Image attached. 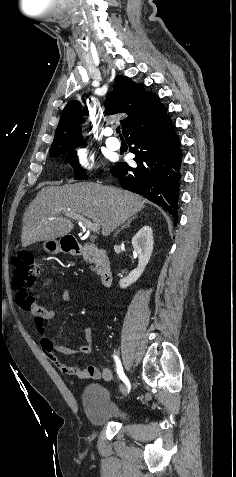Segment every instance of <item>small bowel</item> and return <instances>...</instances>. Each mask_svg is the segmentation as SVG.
<instances>
[{
    "instance_id": "obj_1",
    "label": "small bowel",
    "mask_w": 236,
    "mask_h": 477,
    "mask_svg": "<svg viewBox=\"0 0 236 477\" xmlns=\"http://www.w3.org/2000/svg\"><path fill=\"white\" fill-rule=\"evenodd\" d=\"M52 279H45L42 282V289L48 288L52 284ZM41 293L36 296H31L26 303V307H20L23 311L30 313L33 317L34 328L40 335V345L45 356L53 362L58 368L65 374L74 376L78 379H95L110 381L112 379V372L110 368H100L97 365H88L83 368L67 365L61 362L56 353L64 355L83 354L88 355L93 350V331L90 327L83 328V335L85 343L78 349H71L62 343L58 342L55 338L47 336L45 334L44 321L53 320L56 316V312L53 309H47L40 303ZM62 300L65 303L70 301V295L67 290L62 294Z\"/></svg>"
}]
</instances>
